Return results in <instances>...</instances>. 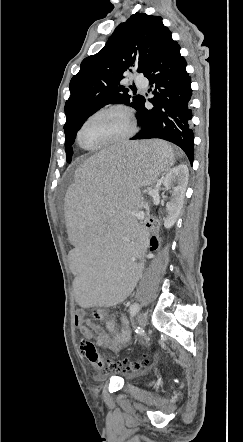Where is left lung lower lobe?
Instances as JSON below:
<instances>
[{
	"label": "left lung lower lobe",
	"mask_w": 243,
	"mask_h": 442,
	"mask_svg": "<svg viewBox=\"0 0 243 442\" xmlns=\"http://www.w3.org/2000/svg\"><path fill=\"white\" fill-rule=\"evenodd\" d=\"M186 66L185 59L180 55V46L169 34L144 73L153 88L150 90L154 97L149 99L153 108L147 109L144 99L137 115L141 130L130 139L158 138L172 142L183 149L192 164L194 158V135L190 124L192 89Z\"/></svg>",
	"instance_id": "left-lung-lower-lobe-1"
}]
</instances>
